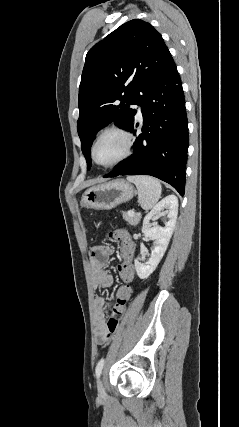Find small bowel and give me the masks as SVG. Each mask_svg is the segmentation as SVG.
<instances>
[{
	"label": "small bowel",
	"instance_id": "c3829d8e",
	"mask_svg": "<svg viewBox=\"0 0 239 427\" xmlns=\"http://www.w3.org/2000/svg\"><path fill=\"white\" fill-rule=\"evenodd\" d=\"M111 253H112V247L107 245H97L90 250V265H91V271H92L93 285L95 288H110L114 283L113 276L106 271V267H107L108 260ZM132 293H133V287H132V292L130 294V297ZM129 298H123V299L128 301ZM125 305L126 303L120 308L119 314L123 312ZM94 311H95V319H96V329L100 338V342L103 343V336L107 331V324H106L107 303L104 298L100 296L95 297Z\"/></svg>",
	"mask_w": 239,
	"mask_h": 427
}]
</instances>
